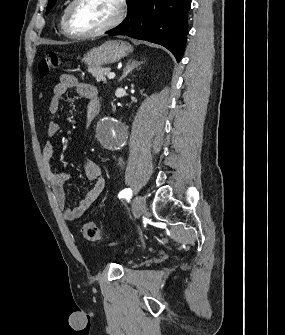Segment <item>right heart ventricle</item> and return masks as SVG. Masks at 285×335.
<instances>
[{
	"instance_id": "right-heart-ventricle-1",
	"label": "right heart ventricle",
	"mask_w": 285,
	"mask_h": 335,
	"mask_svg": "<svg viewBox=\"0 0 285 335\" xmlns=\"http://www.w3.org/2000/svg\"><path fill=\"white\" fill-rule=\"evenodd\" d=\"M72 2H73V1H69V2H68L67 7H66V10H65V15H64V17H67V15H68V11H69V8H70ZM65 30H66V28H65ZM88 60H94V59H88Z\"/></svg>"
}]
</instances>
